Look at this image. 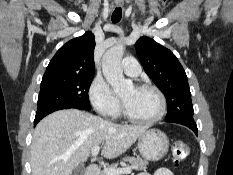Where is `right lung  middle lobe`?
Listing matches in <instances>:
<instances>
[{
    "instance_id": "obj_1",
    "label": "right lung middle lobe",
    "mask_w": 233,
    "mask_h": 175,
    "mask_svg": "<svg viewBox=\"0 0 233 175\" xmlns=\"http://www.w3.org/2000/svg\"><path fill=\"white\" fill-rule=\"evenodd\" d=\"M93 77L74 75L43 78L36 115L60 108L90 110L88 91Z\"/></svg>"
}]
</instances>
